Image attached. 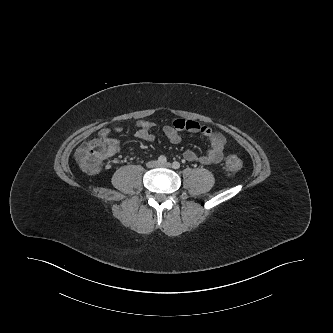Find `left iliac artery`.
Masks as SVG:
<instances>
[{
	"mask_svg": "<svg viewBox=\"0 0 333 333\" xmlns=\"http://www.w3.org/2000/svg\"><path fill=\"white\" fill-rule=\"evenodd\" d=\"M172 167H173L174 169H179V168H180V163L177 162V161H175V162H173Z\"/></svg>",
	"mask_w": 333,
	"mask_h": 333,
	"instance_id": "44dca946",
	"label": "left iliac artery"
}]
</instances>
